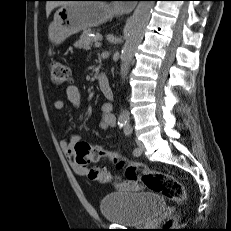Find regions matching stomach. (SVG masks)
I'll use <instances>...</instances> for the list:
<instances>
[{"label": "stomach", "instance_id": "stomach-1", "mask_svg": "<svg viewBox=\"0 0 231 231\" xmlns=\"http://www.w3.org/2000/svg\"><path fill=\"white\" fill-rule=\"evenodd\" d=\"M119 13L120 10L115 4L69 2L55 12L48 28L49 40L53 44H60L69 36L105 23Z\"/></svg>", "mask_w": 231, "mask_h": 231}]
</instances>
